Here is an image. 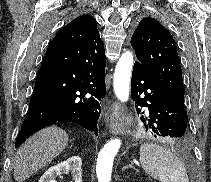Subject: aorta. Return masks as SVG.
<instances>
[{
  "mask_svg": "<svg viewBox=\"0 0 211 182\" xmlns=\"http://www.w3.org/2000/svg\"><path fill=\"white\" fill-rule=\"evenodd\" d=\"M133 63V54L130 51H126L121 55L115 68L113 81L114 92L118 100L121 102H126L129 99V85ZM120 146V139H112L101 149L96 165L98 182L111 181L113 160L118 153Z\"/></svg>",
  "mask_w": 211,
  "mask_h": 182,
  "instance_id": "762f6f07",
  "label": "aorta"
}]
</instances>
